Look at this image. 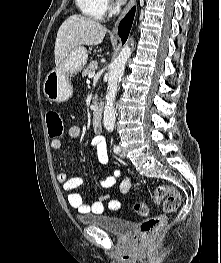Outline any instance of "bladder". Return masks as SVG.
Returning <instances> with one entry per match:
<instances>
[{
  "label": "bladder",
  "instance_id": "1",
  "mask_svg": "<svg viewBox=\"0 0 221 263\" xmlns=\"http://www.w3.org/2000/svg\"><path fill=\"white\" fill-rule=\"evenodd\" d=\"M81 222L85 225L100 227L101 229L122 238L129 236L135 227V223L133 221L111 214L83 217L81 218Z\"/></svg>",
  "mask_w": 221,
  "mask_h": 263
}]
</instances>
